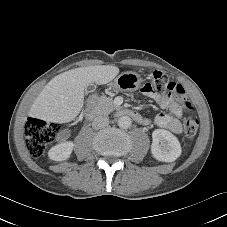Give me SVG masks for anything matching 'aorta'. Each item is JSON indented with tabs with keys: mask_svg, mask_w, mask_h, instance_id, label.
Returning <instances> with one entry per match:
<instances>
[{
	"mask_svg": "<svg viewBox=\"0 0 227 227\" xmlns=\"http://www.w3.org/2000/svg\"><path fill=\"white\" fill-rule=\"evenodd\" d=\"M131 124H132V120L128 116H121L118 119V126L120 128L127 129V128H129L131 126Z\"/></svg>",
	"mask_w": 227,
	"mask_h": 227,
	"instance_id": "1",
	"label": "aorta"
}]
</instances>
